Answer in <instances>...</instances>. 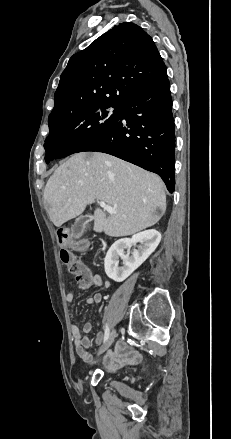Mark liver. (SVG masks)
<instances>
[{
  "mask_svg": "<svg viewBox=\"0 0 231 439\" xmlns=\"http://www.w3.org/2000/svg\"><path fill=\"white\" fill-rule=\"evenodd\" d=\"M95 200L116 209L107 215L96 208L93 215V230L112 237L148 228L166 210L165 186L159 176L99 152L71 156L54 171L44 190L47 213L57 227Z\"/></svg>",
  "mask_w": 231,
  "mask_h": 439,
  "instance_id": "liver-1",
  "label": "liver"
}]
</instances>
